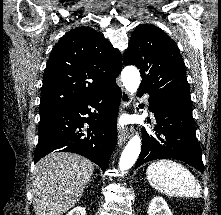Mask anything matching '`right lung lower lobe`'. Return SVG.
<instances>
[{
    "label": "right lung lower lobe",
    "mask_w": 221,
    "mask_h": 215,
    "mask_svg": "<svg viewBox=\"0 0 221 215\" xmlns=\"http://www.w3.org/2000/svg\"><path fill=\"white\" fill-rule=\"evenodd\" d=\"M121 96L120 87L114 83L66 107L41 113L34 162L51 152H73L95 162L105 172L117 143Z\"/></svg>",
    "instance_id": "right-lung-lower-lobe-1"
}]
</instances>
